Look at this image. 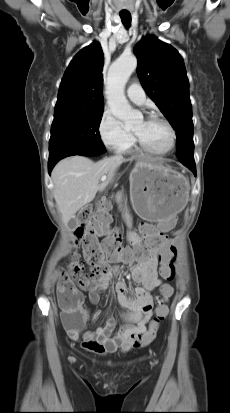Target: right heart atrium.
Returning <instances> with one entry per match:
<instances>
[{"label": "right heart atrium", "instance_id": "obj_1", "mask_svg": "<svg viewBox=\"0 0 230 413\" xmlns=\"http://www.w3.org/2000/svg\"><path fill=\"white\" fill-rule=\"evenodd\" d=\"M98 133L102 143L114 151H123L133 142V135L110 112L104 111L99 124Z\"/></svg>", "mask_w": 230, "mask_h": 413}]
</instances>
